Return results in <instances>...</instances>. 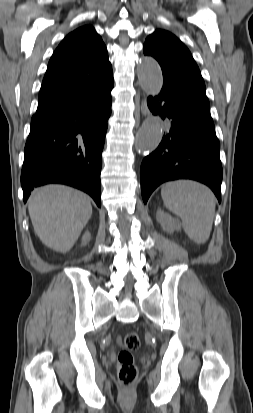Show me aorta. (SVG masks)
Here are the masks:
<instances>
[{
	"instance_id": "1",
	"label": "aorta",
	"mask_w": 253,
	"mask_h": 413,
	"mask_svg": "<svg viewBox=\"0 0 253 413\" xmlns=\"http://www.w3.org/2000/svg\"><path fill=\"white\" fill-rule=\"evenodd\" d=\"M138 81L141 88L151 96L159 94L163 77L158 63L146 56L141 59L137 68ZM163 136V122L159 116L148 117L137 132L135 147L141 154L152 152L160 144Z\"/></svg>"
}]
</instances>
